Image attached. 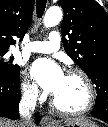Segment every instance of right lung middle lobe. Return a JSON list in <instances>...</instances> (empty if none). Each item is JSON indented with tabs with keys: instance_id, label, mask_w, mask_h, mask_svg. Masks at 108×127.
<instances>
[{
	"instance_id": "dd1d6c3e",
	"label": "right lung middle lobe",
	"mask_w": 108,
	"mask_h": 127,
	"mask_svg": "<svg viewBox=\"0 0 108 127\" xmlns=\"http://www.w3.org/2000/svg\"><path fill=\"white\" fill-rule=\"evenodd\" d=\"M6 53L7 50H0V74L8 78L16 77L20 74V67L12 64L13 59H4Z\"/></svg>"
}]
</instances>
